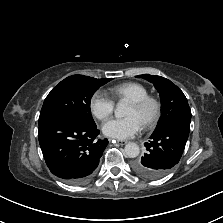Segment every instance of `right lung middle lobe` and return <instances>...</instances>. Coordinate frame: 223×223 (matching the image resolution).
I'll return each mask as SVG.
<instances>
[{"label": "right lung middle lobe", "instance_id": "right-lung-middle-lobe-1", "mask_svg": "<svg viewBox=\"0 0 223 223\" xmlns=\"http://www.w3.org/2000/svg\"><path fill=\"white\" fill-rule=\"evenodd\" d=\"M112 78L95 79L73 75L62 80L46 97L39 116V124L60 116H70L94 125L90 101L96 90Z\"/></svg>", "mask_w": 223, "mask_h": 223}]
</instances>
